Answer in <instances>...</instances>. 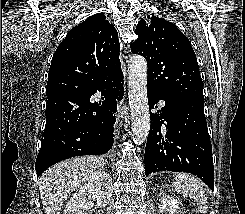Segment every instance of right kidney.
<instances>
[{
  "label": "right kidney",
  "mask_w": 245,
  "mask_h": 214,
  "mask_svg": "<svg viewBox=\"0 0 245 214\" xmlns=\"http://www.w3.org/2000/svg\"><path fill=\"white\" fill-rule=\"evenodd\" d=\"M113 193L112 178L108 173L96 172L76 190L70 201L67 202L64 214H87L85 208L90 200L96 202L99 207L109 204Z\"/></svg>",
  "instance_id": "obj_1"
}]
</instances>
